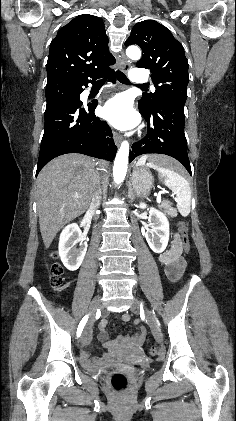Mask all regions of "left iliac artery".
I'll use <instances>...</instances> for the list:
<instances>
[{"mask_svg": "<svg viewBox=\"0 0 236 421\" xmlns=\"http://www.w3.org/2000/svg\"><path fill=\"white\" fill-rule=\"evenodd\" d=\"M153 313H154V311H153ZM157 322H158V320H157ZM158 325H160L159 322H158Z\"/></svg>", "mask_w": 236, "mask_h": 421, "instance_id": "left-iliac-artery-1", "label": "left iliac artery"}]
</instances>
